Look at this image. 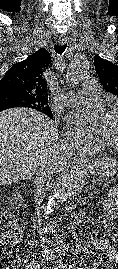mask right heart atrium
Segmentation results:
<instances>
[{"label": "right heart atrium", "instance_id": "right-heart-atrium-1", "mask_svg": "<svg viewBox=\"0 0 118 269\" xmlns=\"http://www.w3.org/2000/svg\"><path fill=\"white\" fill-rule=\"evenodd\" d=\"M64 135L65 138L74 146H80L82 144L92 143V140L82 137L80 134L69 128L65 129Z\"/></svg>", "mask_w": 118, "mask_h": 269}]
</instances>
